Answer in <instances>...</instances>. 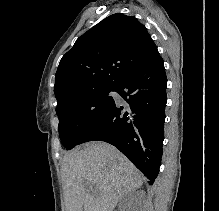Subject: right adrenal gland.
Returning <instances> with one entry per match:
<instances>
[{
  "instance_id": "obj_1",
  "label": "right adrenal gland",
  "mask_w": 219,
  "mask_h": 211,
  "mask_svg": "<svg viewBox=\"0 0 219 211\" xmlns=\"http://www.w3.org/2000/svg\"><path fill=\"white\" fill-rule=\"evenodd\" d=\"M131 193H134V191H130V193H126V195H131Z\"/></svg>"
}]
</instances>
